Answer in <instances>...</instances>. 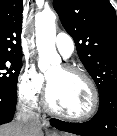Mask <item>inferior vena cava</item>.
I'll use <instances>...</instances> for the list:
<instances>
[{
  "label": "inferior vena cava",
  "mask_w": 117,
  "mask_h": 136,
  "mask_svg": "<svg viewBox=\"0 0 117 136\" xmlns=\"http://www.w3.org/2000/svg\"><path fill=\"white\" fill-rule=\"evenodd\" d=\"M17 121L24 125L27 133H32L41 128L39 115L25 104L18 106ZM28 136L32 134H26Z\"/></svg>",
  "instance_id": "inferior-vena-cava-1"
}]
</instances>
